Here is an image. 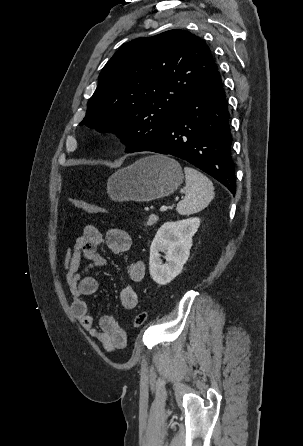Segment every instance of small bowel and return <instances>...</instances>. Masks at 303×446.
I'll list each match as a JSON object with an SVG mask.
<instances>
[{
	"label": "small bowel",
	"instance_id": "c3829d8e",
	"mask_svg": "<svg viewBox=\"0 0 303 446\" xmlns=\"http://www.w3.org/2000/svg\"><path fill=\"white\" fill-rule=\"evenodd\" d=\"M105 243L115 254H121L131 247V237L128 232L120 228H111L105 235L93 225L84 227L82 234L76 239L72 247L64 253L63 267L66 283L71 294V309L81 326L100 342L108 352L124 349L127 346V334L111 315H103L98 324L89 313L85 297L95 294L99 289V281L88 272L106 264V259L98 253V247ZM83 259L88 263L81 267ZM128 277L132 282H140L146 274L142 260H132L127 267ZM120 302L127 310L134 309L138 304V297L131 286L120 291Z\"/></svg>",
	"mask_w": 303,
	"mask_h": 446
}]
</instances>
